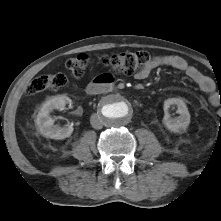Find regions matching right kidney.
Masks as SVG:
<instances>
[{
  "instance_id": "obj_1",
  "label": "right kidney",
  "mask_w": 221,
  "mask_h": 221,
  "mask_svg": "<svg viewBox=\"0 0 221 221\" xmlns=\"http://www.w3.org/2000/svg\"><path fill=\"white\" fill-rule=\"evenodd\" d=\"M68 103H71V99L69 97L57 95L51 97L43 104L35 120L36 127L43 136L51 139L62 140L72 134V125H67L66 127L54 125V120L50 117V113L53 109L63 110Z\"/></svg>"
}]
</instances>
